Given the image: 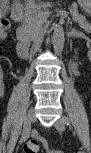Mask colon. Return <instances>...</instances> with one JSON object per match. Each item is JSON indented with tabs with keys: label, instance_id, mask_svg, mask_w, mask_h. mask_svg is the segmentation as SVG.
Wrapping results in <instances>:
<instances>
[{
	"label": "colon",
	"instance_id": "5ec220e1",
	"mask_svg": "<svg viewBox=\"0 0 91 153\" xmlns=\"http://www.w3.org/2000/svg\"><path fill=\"white\" fill-rule=\"evenodd\" d=\"M0 24H1V27L6 30L9 25V22L7 20H2ZM40 146H43L46 148L48 146L46 140H44V139H31L29 142H27L24 145L23 151H24V153H37Z\"/></svg>",
	"mask_w": 91,
	"mask_h": 153
}]
</instances>
